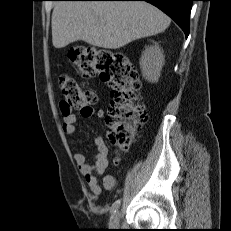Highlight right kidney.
Returning <instances> with one entry per match:
<instances>
[{
	"mask_svg": "<svg viewBox=\"0 0 231 231\" xmlns=\"http://www.w3.org/2000/svg\"><path fill=\"white\" fill-rule=\"evenodd\" d=\"M163 65L164 55L161 48L156 43L153 46L146 47L140 59L143 77L149 82H157Z\"/></svg>",
	"mask_w": 231,
	"mask_h": 231,
	"instance_id": "ca27d5eb",
	"label": "right kidney"
}]
</instances>
